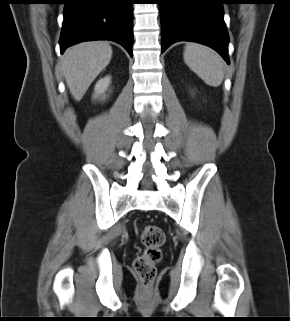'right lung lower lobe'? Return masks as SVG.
Wrapping results in <instances>:
<instances>
[{"label": "right lung lower lobe", "mask_w": 290, "mask_h": 321, "mask_svg": "<svg viewBox=\"0 0 290 321\" xmlns=\"http://www.w3.org/2000/svg\"><path fill=\"white\" fill-rule=\"evenodd\" d=\"M64 4L61 53L80 42L111 40L132 56V0H65Z\"/></svg>", "instance_id": "1"}]
</instances>
